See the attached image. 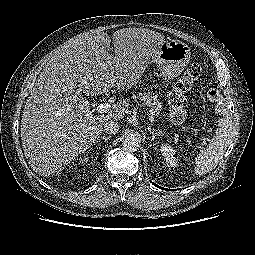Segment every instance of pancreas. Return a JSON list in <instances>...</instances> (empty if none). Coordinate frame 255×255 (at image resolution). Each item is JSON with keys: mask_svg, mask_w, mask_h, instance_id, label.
Segmentation results:
<instances>
[{"mask_svg": "<svg viewBox=\"0 0 255 255\" xmlns=\"http://www.w3.org/2000/svg\"><path fill=\"white\" fill-rule=\"evenodd\" d=\"M134 98L143 101V103L149 106L151 111L155 113L157 116L162 111V104L158 100V97L156 95L153 96L150 92L147 93L137 92L134 94Z\"/></svg>", "mask_w": 255, "mask_h": 255, "instance_id": "cf45deb5", "label": "pancreas"}]
</instances>
